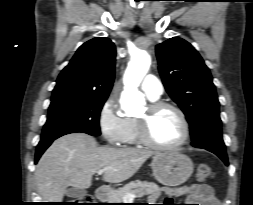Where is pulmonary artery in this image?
<instances>
[{
  "instance_id": "e3ab8cb5",
  "label": "pulmonary artery",
  "mask_w": 253,
  "mask_h": 205,
  "mask_svg": "<svg viewBox=\"0 0 253 205\" xmlns=\"http://www.w3.org/2000/svg\"><path fill=\"white\" fill-rule=\"evenodd\" d=\"M141 89L150 98H159L163 93V85L154 75H147L143 79Z\"/></svg>"
}]
</instances>
